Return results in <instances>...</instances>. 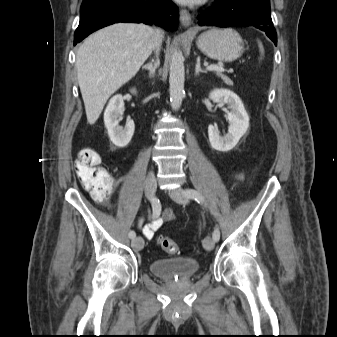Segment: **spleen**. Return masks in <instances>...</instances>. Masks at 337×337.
Masks as SVG:
<instances>
[{"label": "spleen", "instance_id": "3e777b00", "mask_svg": "<svg viewBox=\"0 0 337 337\" xmlns=\"http://www.w3.org/2000/svg\"><path fill=\"white\" fill-rule=\"evenodd\" d=\"M258 46H259V49H260V52H261V56L264 55V48H263V45L260 41H258Z\"/></svg>", "mask_w": 337, "mask_h": 337}]
</instances>
